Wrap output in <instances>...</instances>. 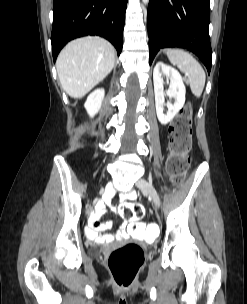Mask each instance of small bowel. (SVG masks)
<instances>
[{
  "label": "small bowel",
  "mask_w": 247,
  "mask_h": 304,
  "mask_svg": "<svg viewBox=\"0 0 247 304\" xmlns=\"http://www.w3.org/2000/svg\"><path fill=\"white\" fill-rule=\"evenodd\" d=\"M135 193L130 192L127 193L124 198L125 199H133L135 198ZM105 205L104 203H100L96 210L91 214L90 225L87 228V237L89 240L96 243H109L112 242L115 238H124L127 232L130 229V226L127 223H124L121 229L117 232L116 235L112 234H102L103 231L109 229L111 227L110 222H101L100 217L104 213Z\"/></svg>",
  "instance_id": "small-bowel-1"
}]
</instances>
